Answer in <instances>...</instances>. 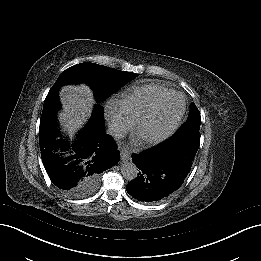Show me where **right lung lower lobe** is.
<instances>
[{
	"label": "right lung lower lobe",
	"mask_w": 261,
	"mask_h": 261,
	"mask_svg": "<svg viewBox=\"0 0 261 261\" xmlns=\"http://www.w3.org/2000/svg\"><path fill=\"white\" fill-rule=\"evenodd\" d=\"M59 87L53 86L43 106L39 126V143L44 167L52 183L64 193L75 195L82 182L92 186L98 174L116 164L120 152L113 138L105 133L104 109L96 104L93 117L71 146L56 138L59 131L56 113L60 108ZM69 153L59 157L56 153Z\"/></svg>",
	"instance_id": "1"
}]
</instances>
